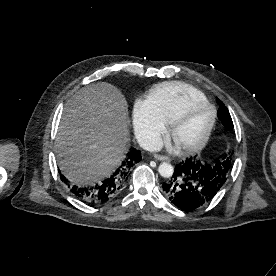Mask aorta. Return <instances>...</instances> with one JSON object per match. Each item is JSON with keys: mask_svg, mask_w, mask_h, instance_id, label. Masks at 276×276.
I'll list each match as a JSON object with an SVG mask.
<instances>
[{"mask_svg": "<svg viewBox=\"0 0 276 276\" xmlns=\"http://www.w3.org/2000/svg\"><path fill=\"white\" fill-rule=\"evenodd\" d=\"M158 172L163 178H171L174 168L171 164L163 162L159 165Z\"/></svg>", "mask_w": 276, "mask_h": 276, "instance_id": "aorta-1", "label": "aorta"}]
</instances>
